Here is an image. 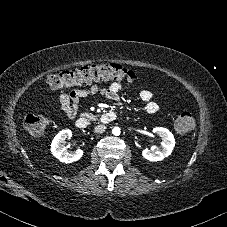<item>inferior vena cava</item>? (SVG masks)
<instances>
[{
  "mask_svg": "<svg viewBox=\"0 0 227 227\" xmlns=\"http://www.w3.org/2000/svg\"><path fill=\"white\" fill-rule=\"evenodd\" d=\"M106 130V126L105 125H97L94 128V132L95 133H103Z\"/></svg>",
  "mask_w": 227,
  "mask_h": 227,
  "instance_id": "602c4592",
  "label": "inferior vena cava"
}]
</instances>
